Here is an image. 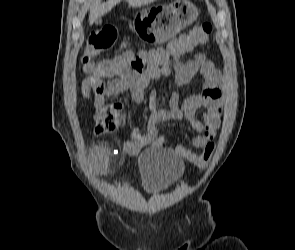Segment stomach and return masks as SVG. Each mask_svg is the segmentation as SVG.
Instances as JSON below:
<instances>
[{
  "label": "stomach",
  "instance_id": "1",
  "mask_svg": "<svg viewBox=\"0 0 295 250\" xmlns=\"http://www.w3.org/2000/svg\"><path fill=\"white\" fill-rule=\"evenodd\" d=\"M198 15L197 7L190 1L175 0L167 5L158 4L139 10L134 28L140 40H147V45H164V42L196 21Z\"/></svg>",
  "mask_w": 295,
  "mask_h": 250
}]
</instances>
